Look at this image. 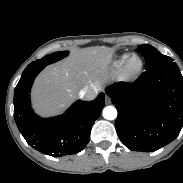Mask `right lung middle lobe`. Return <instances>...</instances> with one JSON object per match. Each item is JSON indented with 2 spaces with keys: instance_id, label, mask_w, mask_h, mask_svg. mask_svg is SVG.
<instances>
[{
  "instance_id": "dd1d6c3e",
  "label": "right lung middle lobe",
  "mask_w": 183,
  "mask_h": 183,
  "mask_svg": "<svg viewBox=\"0 0 183 183\" xmlns=\"http://www.w3.org/2000/svg\"><path fill=\"white\" fill-rule=\"evenodd\" d=\"M67 55H68V51L56 52L53 54L46 55L42 59L36 60L30 63L29 65H32V66L45 65L46 66L66 57Z\"/></svg>"
}]
</instances>
